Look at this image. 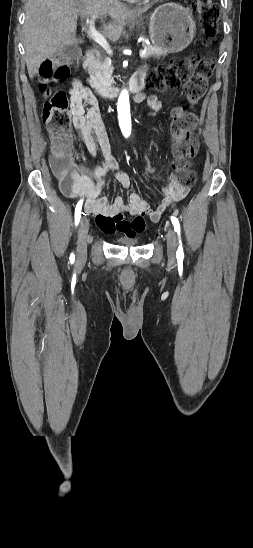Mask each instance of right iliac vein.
Listing matches in <instances>:
<instances>
[{
  "mask_svg": "<svg viewBox=\"0 0 253 548\" xmlns=\"http://www.w3.org/2000/svg\"><path fill=\"white\" fill-rule=\"evenodd\" d=\"M89 231V223L87 219L82 218L78 228L77 240V258L83 261L87 256V236Z\"/></svg>",
  "mask_w": 253,
  "mask_h": 548,
  "instance_id": "1",
  "label": "right iliac vein"
}]
</instances>
